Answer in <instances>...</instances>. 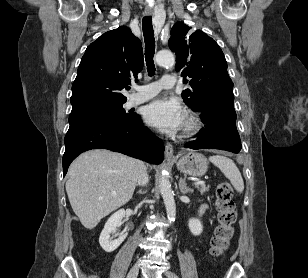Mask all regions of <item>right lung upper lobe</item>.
I'll return each mask as SVG.
<instances>
[{
    "mask_svg": "<svg viewBox=\"0 0 308 278\" xmlns=\"http://www.w3.org/2000/svg\"><path fill=\"white\" fill-rule=\"evenodd\" d=\"M143 68L141 41L121 26L104 33L83 55L72 85L69 116L125 103L127 88Z\"/></svg>",
    "mask_w": 308,
    "mask_h": 278,
    "instance_id": "obj_1",
    "label": "right lung upper lobe"
}]
</instances>
